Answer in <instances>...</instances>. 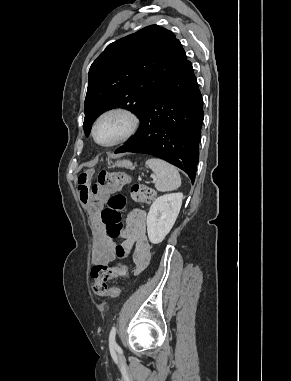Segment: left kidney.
Returning a JSON list of instances; mask_svg holds the SVG:
<instances>
[{
  "label": "left kidney",
  "instance_id": "obj_1",
  "mask_svg": "<svg viewBox=\"0 0 291 381\" xmlns=\"http://www.w3.org/2000/svg\"><path fill=\"white\" fill-rule=\"evenodd\" d=\"M183 200L182 193H169L158 197L147 216V233L152 244L161 243L172 229Z\"/></svg>",
  "mask_w": 291,
  "mask_h": 381
}]
</instances>
